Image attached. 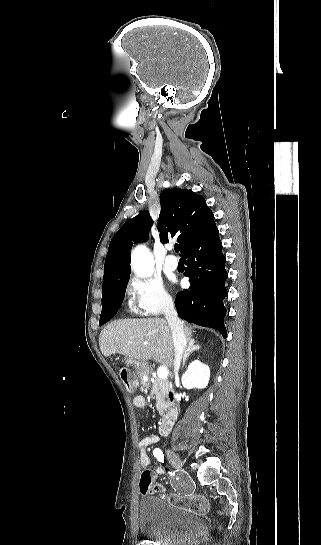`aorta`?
<instances>
[{"label":"aorta","instance_id":"aorta-1","mask_svg":"<svg viewBox=\"0 0 321 545\" xmlns=\"http://www.w3.org/2000/svg\"><path fill=\"white\" fill-rule=\"evenodd\" d=\"M131 264L139 277L150 276L154 269L153 257L145 246H138L132 251Z\"/></svg>","mask_w":321,"mask_h":545}]
</instances>
